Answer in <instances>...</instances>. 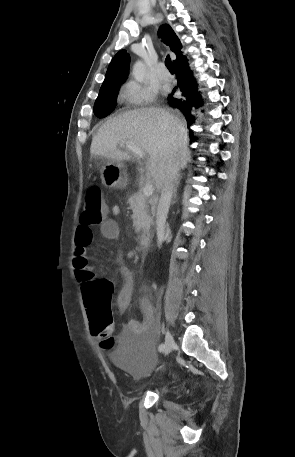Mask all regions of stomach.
Here are the masks:
<instances>
[{
  "instance_id": "obj_1",
  "label": "stomach",
  "mask_w": 295,
  "mask_h": 457,
  "mask_svg": "<svg viewBox=\"0 0 295 457\" xmlns=\"http://www.w3.org/2000/svg\"><path fill=\"white\" fill-rule=\"evenodd\" d=\"M103 184L108 188H124L126 186V171L121 161L105 159L101 167Z\"/></svg>"
}]
</instances>
